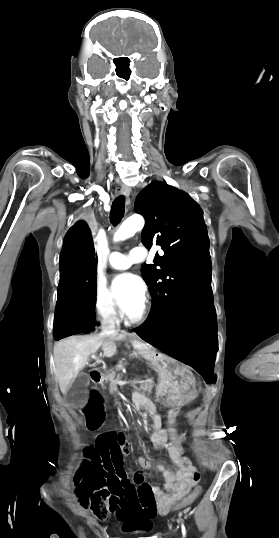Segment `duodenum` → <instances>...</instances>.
<instances>
[{"instance_id": "obj_1", "label": "duodenum", "mask_w": 279, "mask_h": 538, "mask_svg": "<svg viewBox=\"0 0 279 538\" xmlns=\"http://www.w3.org/2000/svg\"><path fill=\"white\" fill-rule=\"evenodd\" d=\"M104 373L99 365L90 366L88 370V378L91 380L93 385H102L104 382ZM133 401H130V406L138 407L141 411H144V414L152 415L153 413H158L157 406L154 404V402L151 400V397L149 395L144 396H137L134 395L132 397ZM139 401H144V404H141ZM148 406V409H147Z\"/></svg>"}]
</instances>
